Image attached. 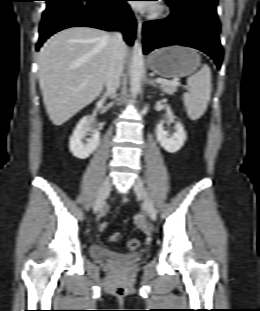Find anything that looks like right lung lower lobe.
Listing matches in <instances>:
<instances>
[{
    "mask_svg": "<svg viewBox=\"0 0 260 311\" xmlns=\"http://www.w3.org/2000/svg\"><path fill=\"white\" fill-rule=\"evenodd\" d=\"M39 28L38 51L52 34L73 26H89L102 30H122L126 42L133 44L136 23L127 0H45Z\"/></svg>",
    "mask_w": 260,
    "mask_h": 311,
    "instance_id": "right-lung-lower-lobe-1",
    "label": "right lung lower lobe"
}]
</instances>
